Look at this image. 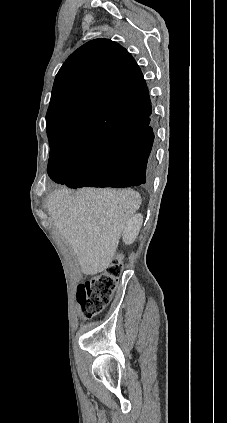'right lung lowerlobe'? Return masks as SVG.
Listing matches in <instances>:
<instances>
[{"label":"right lung lower lobe","mask_w":227,"mask_h":423,"mask_svg":"<svg viewBox=\"0 0 227 423\" xmlns=\"http://www.w3.org/2000/svg\"><path fill=\"white\" fill-rule=\"evenodd\" d=\"M98 112L110 120L128 121L131 131L122 139L86 152L74 165L67 160L50 162L47 168L50 178L70 188L149 186L156 167L149 94L144 99L101 107Z\"/></svg>","instance_id":"98d812e1"}]
</instances>
